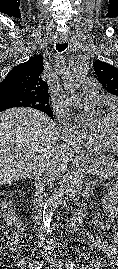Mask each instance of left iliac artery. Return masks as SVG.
Returning a JSON list of instances; mask_svg holds the SVG:
<instances>
[{"label": "left iliac artery", "instance_id": "left-iliac-artery-1", "mask_svg": "<svg viewBox=\"0 0 118 269\" xmlns=\"http://www.w3.org/2000/svg\"><path fill=\"white\" fill-rule=\"evenodd\" d=\"M65 266L67 269H77L76 265L71 261H66Z\"/></svg>", "mask_w": 118, "mask_h": 269}]
</instances>
